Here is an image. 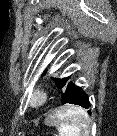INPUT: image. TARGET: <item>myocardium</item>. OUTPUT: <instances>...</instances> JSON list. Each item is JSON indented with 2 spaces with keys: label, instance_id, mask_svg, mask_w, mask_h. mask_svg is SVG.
Listing matches in <instances>:
<instances>
[{
  "label": "myocardium",
  "instance_id": "1",
  "mask_svg": "<svg viewBox=\"0 0 117 136\" xmlns=\"http://www.w3.org/2000/svg\"><path fill=\"white\" fill-rule=\"evenodd\" d=\"M48 97V89L43 85H36L26 93L25 100L29 107L39 109L47 103Z\"/></svg>",
  "mask_w": 117,
  "mask_h": 136
}]
</instances>
